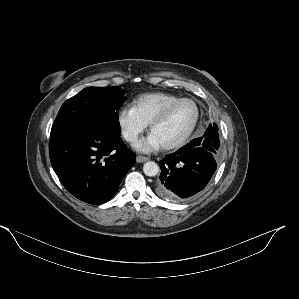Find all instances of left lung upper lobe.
<instances>
[{
    "label": "left lung upper lobe",
    "instance_id": "left-lung-upper-lobe-1",
    "mask_svg": "<svg viewBox=\"0 0 299 299\" xmlns=\"http://www.w3.org/2000/svg\"><path fill=\"white\" fill-rule=\"evenodd\" d=\"M205 133L209 138V142L213 143L212 147L218 153L219 146H220V140H219V135H218V126L215 123L210 124Z\"/></svg>",
    "mask_w": 299,
    "mask_h": 299
}]
</instances>
